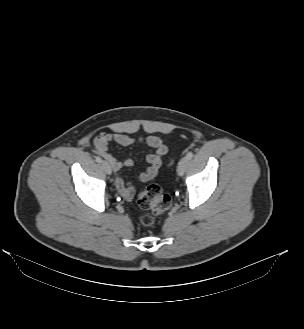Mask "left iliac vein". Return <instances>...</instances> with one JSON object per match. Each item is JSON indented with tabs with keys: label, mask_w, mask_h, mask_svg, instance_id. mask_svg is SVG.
<instances>
[{
	"label": "left iliac vein",
	"mask_w": 304,
	"mask_h": 329,
	"mask_svg": "<svg viewBox=\"0 0 304 329\" xmlns=\"http://www.w3.org/2000/svg\"><path fill=\"white\" fill-rule=\"evenodd\" d=\"M187 164H188L187 157L181 158V160L178 163V167H177V173L179 176H183V174L186 170Z\"/></svg>",
	"instance_id": "left-iliac-vein-1"
}]
</instances>
